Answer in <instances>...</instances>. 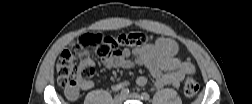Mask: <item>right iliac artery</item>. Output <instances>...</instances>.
Segmentation results:
<instances>
[{
  "label": "right iliac artery",
  "instance_id": "1",
  "mask_svg": "<svg viewBox=\"0 0 252 104\" xmlns=\"http://www.w3.org/2000/svg\"><path fill=\"white\" fill-rule=\"evenodd\" d=\"M128 94H129V90H128V89H123V90H121V95H122L123 97L127 96Z\"/></svg>",
  "mask_w": 252,
  "mask_h": 104
}]
</instances>
